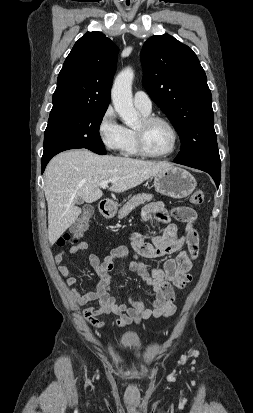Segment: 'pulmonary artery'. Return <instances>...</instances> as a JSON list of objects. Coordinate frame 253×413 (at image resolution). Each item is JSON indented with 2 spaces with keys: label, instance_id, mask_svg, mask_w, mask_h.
Returning a JSON list of instances; mask_svg holds the SVG:
<instances>
[{
  "label": "pulmonary artery",
  "instance_id": "e3ab8cb5",
  "mask_svg": "<svg viewBox=\"0 0 253 413\" xmlns=\"http://www.w3.org/2000/svg\"><path fill=\"white\" fill-rule=\"evenodd\" d=\"M133 102L136 108L144 113H150L152 110V101L144 91L135 92Z\"/></svg>",
  "mask_w": 253,
  "mask_h": 413
}]
</instances>
